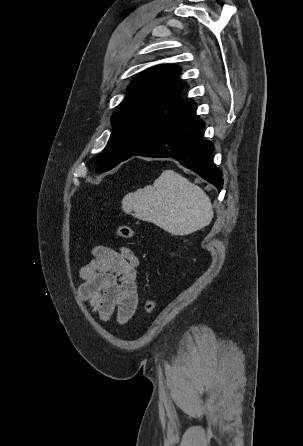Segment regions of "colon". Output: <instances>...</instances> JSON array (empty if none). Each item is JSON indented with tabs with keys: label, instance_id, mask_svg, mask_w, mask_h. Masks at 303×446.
<instances>
[{
	"label": "colon",
	"instance_id": "1",
	"mask_svg": "<svg viewBox=\"0 0 303 446\" xmlns=\"http://www.w3.org/2000/svg\"><path fill=\"white\" fill-rule=\"evenodd\" d=\"M116 234L123 240H129L134 236L133 229L128 225H119L116 229ZM156 303L153 299H147L144 303V311L152 313L155 310Z\"/></svg>",
	"mask_w": 303,
	"mask_h": 446
}]
</instances>
